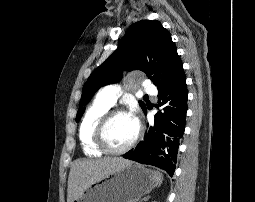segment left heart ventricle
I'll use <instances>...</instances> for the list:
<instances>
[{"mask_svg":"<svg viewBox=\"0 0 255 202\" xmlns=\"http://www.w3.org/2000/svg\"><path fill=\"white\" fill-rule=\"evenodd\" d=\"M138 127L127 114L115 116L107 129V140L111 147L121 148L136 135Z\"/></svg>","mask_w":255,"mask_h":202,"instance_id":"obj_1","label":"left heart ventricle"}]
</instances>
